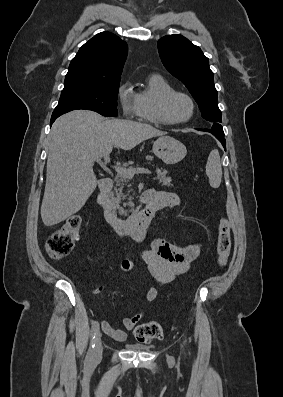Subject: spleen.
I'll list each match as a JSON object with an SVG mask.
<instances>
[{"mask_svg": "<svg viewBox=\"0 0 283 397\" xmlns=\"http://www.w3.org/2000/svg\"><path fill=\"white\" fill-rule=\"evenodd\" d=\"M206 174L209 178L210 186L218 188L221 184L222 168L220 155L217 149L212 150L209 154L206 164Z\"/></svg>", "mask_w": 283, "mask_h": 397, "instance_id": "3e777b00", "label": "spleen"}]
</instances>
